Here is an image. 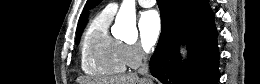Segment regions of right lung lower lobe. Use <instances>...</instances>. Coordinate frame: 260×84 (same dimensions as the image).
<instances>
[{
    "label": "right lung lower lobe",
    "mask_w": 260,
    "mask_h": 84,
    "mask_svg": "<svg viewBox=\"0 0 260 84\" xmlns=\"http://www.w3.org/2000/svg\"><path fill=\"white\" fill-rule=\"evenodd\" d=\"M161 34L150 71L163 84H216L219 52L214 14L208 0H157ZM189 56L181 66L179 45Z\"/></svg>",
    "instance_id": "1"
}]
</instances>
